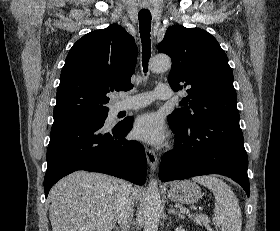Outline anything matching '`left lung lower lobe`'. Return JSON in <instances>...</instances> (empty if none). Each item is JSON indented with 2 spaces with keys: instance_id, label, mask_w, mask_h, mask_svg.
I'll return each mask as SVG.
<instances>
[{
  "instance_id": "obj_1",
  "label": "left lung lower lobe",
  "mask_w": 280,
  "mask_h": 231,
  "mask_svg": "<svg viewBox=\"0 0 280 231\" xmlns=\"http://www.w3.org/2000/svg\"><path fill=\"white\" fill-rule=\"evenodd\" d=\"M168 123L176 133V145L162 157V181L220 174L239 183L249 196L248 157L239 120H204L182 126L168 116Z\"/></svg>"
}]
</instances>
